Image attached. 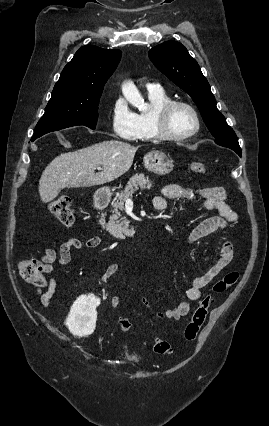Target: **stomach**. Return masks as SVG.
Wrapping results in <instances>:
<instances>
[{"label": "stomach", "instance_id": "obj_1", "mask_svg": "<svg viewBox=\"0 0 269 426\" xmlns=\"http://www.w3.org/2000/svg\"><path fill=\"white\" fill-rule=\"evenodd\" d=\"M143 162L147 170L158 175H166L173 169L172 161L167 157L166 154L158 151L147 153ZM104 190L106 191L108 188H104Z\"/></svg>", "mask_w": 269, "mask_h": 426}]
</instances>
